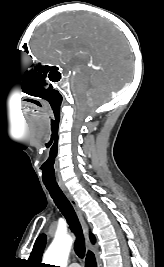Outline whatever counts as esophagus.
<instances>
[{
  "label": "esophagus",
  "instance_id": "1",
  "mask_svg": "<svg viewBox=\"0 0 164 267\" xmlns=\"http://www.w3.org/2000/svg\"><path fill=\"white\" fill-rule=\"evenodd\" d=\"M62 191L64 192L65 196L67 197V199L70 201L72 207L74 208L79 220H80V223H81V226H82V229H83V232H84V237H85V241H86V246H87V250L89 249V230H88V227H87V224L84 220V217H83V214L79 208V205L77 203V201L74 199V197L68 192L67 189L65 188H62Z\"/></svg>",
  "mask_w": 164,
  "mask_h": 267
}]
</instances>
